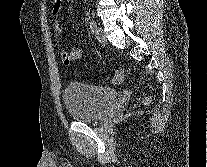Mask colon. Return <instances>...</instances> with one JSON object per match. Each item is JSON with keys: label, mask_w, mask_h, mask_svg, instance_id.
I'll return each instance as SVG.
<instances>
[{"label": "colon", "mask_w": 207, "mask_h": 167, "mask_svg": "<svg viewBox=\"0 0 207 167\" xmlns=\"http://www.w3.org/2000/svg\"><path fill=\"white\" fill-rule=\"evenodd\" d=\"M124 75L121 71H116L113 75V77L110 80V83L112 85L120 84L123 81ZM150 101V98H145L144 102L148 103Z\"/></svg>", "instance_id": "1"}]
</instances>
